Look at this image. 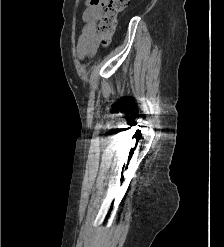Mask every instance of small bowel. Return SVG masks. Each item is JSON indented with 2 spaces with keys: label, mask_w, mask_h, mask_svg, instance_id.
I'll return each instance as SVG.
<instances>
[{
  "label": "small bowel",
  "mask_w": 224,
  "mask_h": 247,
  "mask_svg": "<svg viewBox=\"0 0 224 247\" xmlns=\"http://www.w3.org/2000/svg\"><path fill=\"white\" fill-rule=\"evenodd\" d=\"M107 3L108 0H88V6L83 14L85 26L78 40V53L81 58L93 56L97 51L99 38L96 24Z\"/></svg>",
  "instance_id": "obj_1"
}]
</instances>
